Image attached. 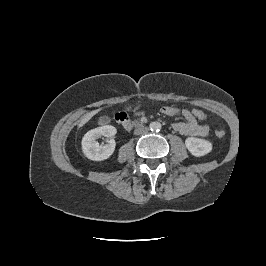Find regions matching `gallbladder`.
<instances>
[{"label": "gallbladder", "mask_w": 266, "mask_h": 266, "mask_svg": "<svg viewBox=\"0 0 266 266\" xmlns=\"http://www.w3.org/2000/svg\"><path fill=\"white\" fill-rule=\"evenodd\" d=\"M109 121H110V119H109L108 116H103V117L100 118V122L107 123V122H109Z\"/></svg>", "instance_id": "obj_1"}]
</instances>
